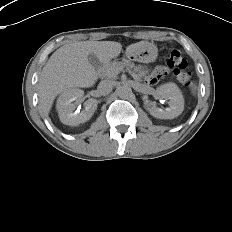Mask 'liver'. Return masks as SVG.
<instances>
[{"label": "liver", "instance_id": "liver-1", "mask_svg": "<svg viewBox=\"0 0 232 232\" xmlns=\"http://www.w3.org/2000/svg\"><path fill=\"white\" fill-rule=\"evenodd\" d=\"M146 41L126 47V54H132ZM122 45L115 41H81L68 43L57 49L42 69L38 84L39 109L47 117L56 96L66 89L92 87L97 81L95 68L88 55L95 54L101 63H107L120 55Z\"/></svg>", "mask_w": 232, "mask_h": 232}]
</instances>
